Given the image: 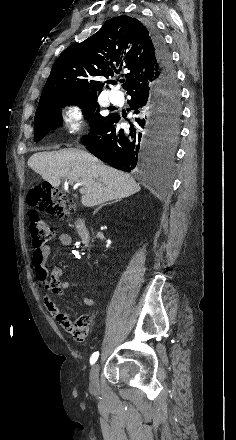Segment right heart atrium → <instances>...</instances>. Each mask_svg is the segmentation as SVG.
Returning a JSON list of instances; mask_svg holds the SVG:
<instances>
[{"instance_id": "right-heart-atrium-1", "label": "right heart atrium", "mask_w": 236, "mask_h": 440, "mask_svg": "<svg viewBox=\"0 0 236 440\" xmlns=\"http://www.w3.org/2000/svg\"><path fill=\"white\" fill-rule=\"evenodd\" d=\"M62 122L66 130L77 132L83 127L84 111L77 103L68 104L61 111Z\"/></svg>"}]
</instances>
